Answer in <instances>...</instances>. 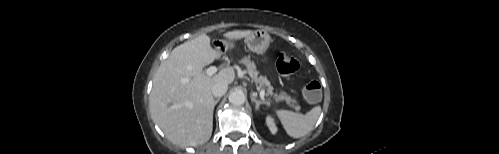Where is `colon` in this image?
I'll use <instances>...</instances> for the list:
<instances>
[{
	"label": "colon",
	"instance_id": "obj_1",
	"mask_svg": "<svg viewBox=\"0 0 499 154\" xmlns=\"http://www.w3.org/2000/svg\"><path fill=\"white\" fill-rule=\"evenodd\" d=\"M277 69L281 74L292 75L299 69V62L295 55L283 53L277 60ZM304 98L311 103L319 101L321 98V85L317 81L309 82L303 89Z\"/></svg>",
	"mask_w": 499,
	"mask_h": 154
}]
</instances>
